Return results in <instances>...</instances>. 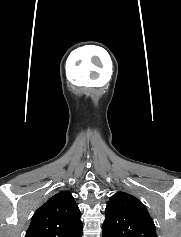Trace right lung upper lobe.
Wrapping results in <instances>:
<instances>
[{
	"label": "right lung upper lobe",
	"instance_id": "right-lung-upper-lobe-1",
	"mask_svg": "<svg viewBox=\"0 0 181 237\" xmlns=\"http://www.w3.org/2000/svg\"><path fill=\"white\" fill-rule=\"evenodd\" d=\"M80 216L71 193L60 191L34 213L25 237H80Z\"/></svg>",
	"mask_w": 181,
	"mask_h": 237
}]
</instances>
